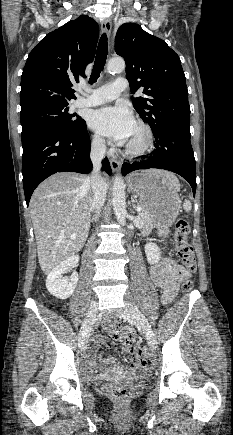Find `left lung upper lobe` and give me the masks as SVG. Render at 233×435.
<instances>
[{
  "label": "left lung upper lobe",
  "instance_id": "left-lung-upper-lobe-1",
  "mask_svg": "<svg viewBox=\"0 0 233 435\" xmlns=\"http://www.w3.org/2000/svg\"><path fill=\"white\" fill-rule=\"evenodd\" d=\"M115 51L125 59L131 92L144 88L146 97L132 98V102L153 134L189 125L185 74L179 56L167 43L138 24L125 23L117 30Z\"/></svg>",
  "mask_w": 233,
  "mask_h": 435
}]
</instances>
